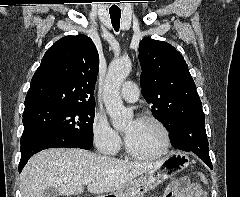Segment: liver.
I'll return each mask as SVG.
<instances>
[{"label":"liver","mask_w":240,"mask_h":197,"mask_svg":"<svg viewBox=\"0 0 240 197\" xmlns=\"http://www.w3.org/2000/svg\"><path fill=\"white\" fill-rule=\"evenodd\" d=\"M162 163L118 160L83 149L54 148L30 158L20 175L22 197H43L48 188L72 196L87 190L93 194L114 193L139 175Z\"/></svg>","instance_id":"liver-1"}]
</instances>
